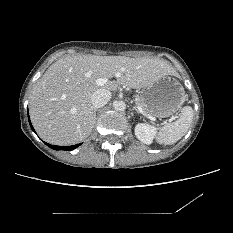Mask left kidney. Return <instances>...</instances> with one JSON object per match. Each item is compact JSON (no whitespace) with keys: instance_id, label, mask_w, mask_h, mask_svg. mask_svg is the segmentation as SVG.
I'll return each instance as SVG.
<instances>
[{"instance_id":"left-kidney-1","label":"left kidney","mask_w":233,"mask_h":233,"mask_svg":"<svg viewBox=\"0 0 233 233\" xmlns=\"http://www.w3.org/2000/svg\"><path fill=\"white\" fill-rule=\"evenodd\" d=\"M156 134V127L145 124V123H139L135 127V135L138 140L143 142L144 144H151L153 141V138Z\"/></svg>"}]
</instances>
